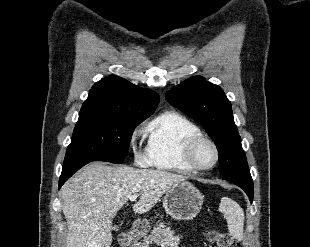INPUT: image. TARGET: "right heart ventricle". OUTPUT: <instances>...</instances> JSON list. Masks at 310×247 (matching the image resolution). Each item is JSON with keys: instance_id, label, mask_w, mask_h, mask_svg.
<instances>
[{"instance_id": "1", "label": "right heart ventricle", "mask_w": 310, "mask_h": 247, "mask_svg": "<svg viewBox=\"0 0 310 247\" xmlns=\"http://www.w3.org/2000/svg\"><path fill=\"white\" fill-rule=\"evenodd\" d=\"M145 133L151 166L181 173L193 171L184 161L183 149L189 138L202 134L195 123L178 112L165 111L147 124Z\"/></svg>"}]
</instances>
